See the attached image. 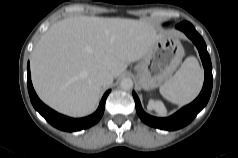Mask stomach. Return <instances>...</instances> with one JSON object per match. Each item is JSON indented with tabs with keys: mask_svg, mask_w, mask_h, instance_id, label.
<instances>
[{
	"mask_svg": "<svg viewBox=\"0 0 238 158\" xmlns=\"http://www.w3.org/2000/svg\"><path fill=\"white\" fill-rule=\"evenodd\" d=\"M183 57L184 49L178 37L171 32L162 33L135 66L140 86L151 90L162 85L172 76Z\"/></svg>",
	"mask_w": 238,
	"mask_h": 158,
	"instance_id": "obj_1",
	"label": "stomach"
}]
</instances>
